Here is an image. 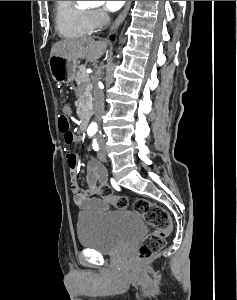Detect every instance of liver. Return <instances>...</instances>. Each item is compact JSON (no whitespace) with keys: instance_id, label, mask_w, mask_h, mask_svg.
<instances>
[{"instance_id":"1","label":"liver","mask_w":237,"mask_h":300,"mask_svg":"<svg viewBox=\"0 0 237 300\" xmlns=\"http://www.w3.org/2000/svg\"><path fill=\"white\" fill-rule=\"evenodd\" d=\"M106 47V41H94L93 37H84L78 41H58L53 45L50 55H65L75 61L86 59L89 63H95L103 55Z\"/></svg>"}]
</instances>
